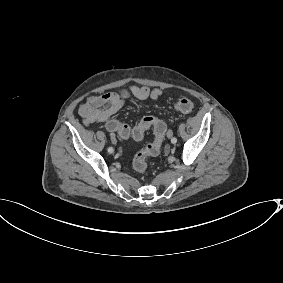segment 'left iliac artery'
<instances>
[{
  "mask_svg": "<svg viewBox=\"0 0 283 283\" xmlns=\"http://www.w3.org/2000/svg\"><path fill=\"white\" fill-rule=\"evenodd\" d=\"M171 142H172L173 144H175V143L177 142V138L173 137V138L171 139Z\"/></svg>",
  "mask_w": 283,
  "mask_h": 283,
  "instance_id": "left-iliac-artery-1",
  "label": "left iliac artery"
}]
</instances>
